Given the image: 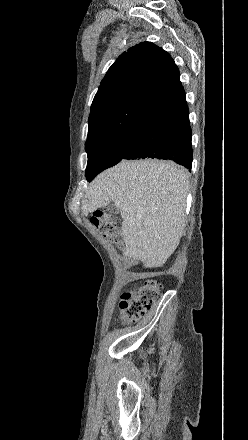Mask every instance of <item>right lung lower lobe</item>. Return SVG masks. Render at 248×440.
I'll list each match as a JSON object with an SVG mask.
<instances>
[{"label": "right lung lower lobe", "instance_id": "obj_1", "mask_svg": "<svg viewBox=\"0 0 248 440\" xmlns=\"http://www.w3.org/2000/svg\"><path fill=\"white\" fill-rule=\"evenodd\" d=\"M128 132L130 139L123 159H169L191 169V129L185 96L148 114Z\"/></svg>", "mask_w": 248, "mask_h": 440}]
</instances>
